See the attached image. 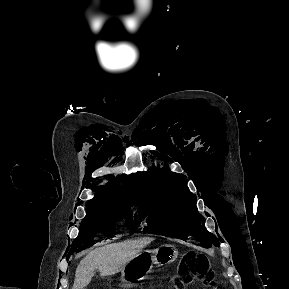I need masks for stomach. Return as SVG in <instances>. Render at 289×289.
<instances>
[{
  "label": "stomach",
  "instance_id": "0dacf381",
  "mask_svg": "<svg viewBox=\"0 0 289 289\" xmlns=\"http://www.w3.org/2000/svg\"><path fill=\"white\" fill-rule=\"evenodd\" d=\"M178 251L173 245L164 244L154 250H141L125 267L121 269V281L124 286H132L135 281L146 277L154 264L161 266L173 262Z\"/></svg>",
  "mask_w": 289,
  "mask_h": 289
}]
</instances>
